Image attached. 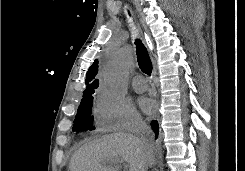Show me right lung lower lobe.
I'll use <instances>...</instances> for the list:
<instances>
[{
    "label": "right lung lower lobe",
    "mask_w": 245,
    "mask_h": 171,
    "mask_svg": "<svg viewBox=\"0 0 245 171\" xmlns=\"http://www.w3.org/2000/svg\"><path fill=\"white\" fill-rule=\"evenodd\" d=\"M151 126H152V129H153L154 132H155L156 137H157V136H158V133H159L157 121H152Z\"/></svg>",
    "instance_id": "right-lung-lower-lobe-1"
}]
</instances>
